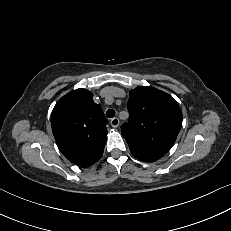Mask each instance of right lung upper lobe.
<instances>
[{"mask_svg": "<svg viewBox=\"0 0 231 231\" xmlns=\"http://www.w3.org/2000/svg\"><path fill=\"white\" fill-rule=\"evenodd\" d=\"M107 123L101 107L86 89L73 90L62 97L51 116L53 135L60 151L79 167H88L102 157Z\"/></svg>", "mask_w": 231, "mask_h": 231, "instance_id": "right-lung-upper-lobe-1", "label": "right lung upper lobe"}]
</instances>
